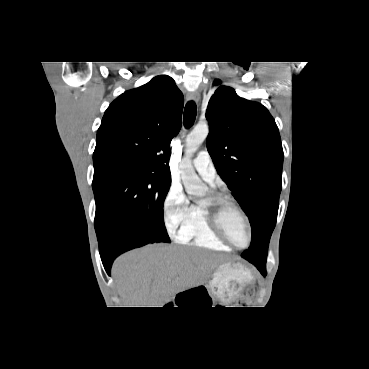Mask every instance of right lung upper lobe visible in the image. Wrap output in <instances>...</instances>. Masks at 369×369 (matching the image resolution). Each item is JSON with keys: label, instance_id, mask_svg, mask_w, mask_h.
<instances>
[{"label": "right lung upper lobe", "instance_id": "obj_1", "mask_svg": "<svg viewBox=\"0 0 369 369\" xmlns=\"http://www.w3.org/2000/svg\"><path fill=\"white\" fill-rule=\"evenodd\" d=\"M183 104L166 75L121 94L97 131L94 167H134L170 177V142L181 128Z\"/></svg>", "mask_w": 369, "mask_h": 369}]
</instances>
